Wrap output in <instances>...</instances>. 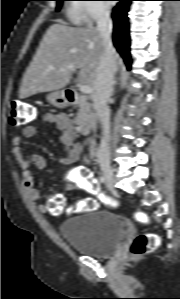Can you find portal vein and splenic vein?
Listing matches in <instances>:
<instances>
[{
  "label": "portal vein and splenic vein",
  "mask_w": 180,
  "mask_h": 299,
  "mask_svg": "<svg viewBox=\"0 0 180 299\" xmlns=\"http://www.w3.org/2000/svg\"><path fill=\"white\" fill-rule=\"evenodd\" d=\"M49 70H54V67L49 66ZM78 87H79V90L84 94H90L93 91L92 88L88 85L79 84Z\"/></svg>",
  "instance_id": "1"
}]
</instances>
